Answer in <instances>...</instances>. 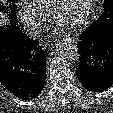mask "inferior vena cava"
Here are the masks:
<instances>
[{
    "mask_svg": "<svg viewBox=\"0 0 113 113\" xmlns=\"http://www.w3.org/2000/svg\"><path fill=\"white\" fill-rule=\"evenodd\" d=\"M42 26L39 23H34L28 28V33L31 36H37L42 32Z\"/></svg>",
    "mask_w": 113,
    "mask_h": 113,
    "instance_id": "1",
    "label": "inferior vena cava"
}]
</instances>
